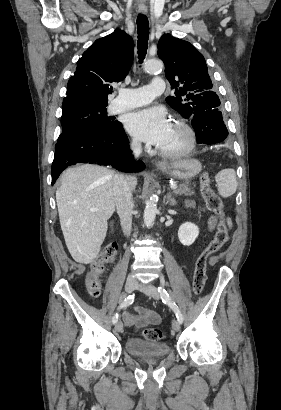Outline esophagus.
Here are the masks:
<instances>
[{"instance_id": "34e87169", "label": "esophagus", "mask_w": 281, "mask_h": 410, "mask_svg": "<svg viewBox=\"0 0 281 410\" xmlns=\"http://www.w3.org/2000/svg\"><path fill=\"white\" fill-rule=\"evenodd\" d=\"M139 11H140L141 13H143V14H146V13H147V10H146V9H140ZM155 165H156L157 167H163V166H166L167 163H166L165 161H156V162H155Z\"/></svg>"}]
</instances>
